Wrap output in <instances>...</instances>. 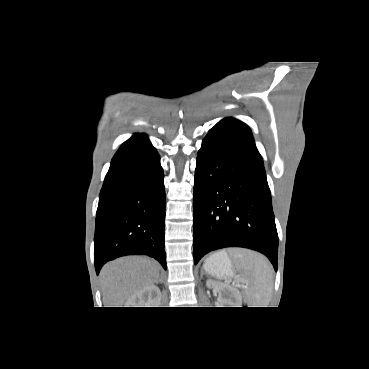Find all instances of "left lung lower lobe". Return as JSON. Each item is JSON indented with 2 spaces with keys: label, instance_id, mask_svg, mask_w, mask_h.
<instances>
[{
  "label": "left lung lower lobe",
  "instance_id": "obj_1",
  "mask_svg": "<svg viewBox=\"0 0 369 369\" xmlns=\"http://www.w3.org/2000/svg\"><path fill=\"white\" fill-rule=\"evenodd\" d=\"M194 263L208 252L244 247L277 271L278 234L263 160L249 127L234 118L203 139L194 183Z\"/></svg>",
  "mask_w": 369,
  "mask_h": 369
}]
</instances>
